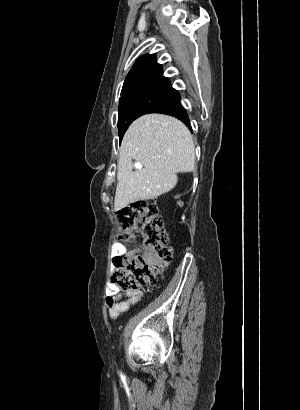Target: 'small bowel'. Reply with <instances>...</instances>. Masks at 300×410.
Returning a JSON list of instances; mask_svg holds the SVG:
<instances>
[{
    "label": "small bowel",
    "instance_id": "c3829d8e",
    "mask_svg": "<svg viewBox=\"0 0 300 410\" xmlns=\"http://www.w3.org/2000/svg\"><path fill=\"white\" fill-rule=\"evenodd\" d=\"M128 252L126 247L121 243H114L112 246V254L117 257ZM115 265V263H114ZM143 297V292L141 290H133L131 292L122 293L116 291L111 286L107 291L106 305L108 309L109 317L112 320L117 319L119 316L124 314L131 305L137 304L141 301Z\"/></svg>",
    "mask_w": 300,
    "mask_h": 410
}]
</instances>
